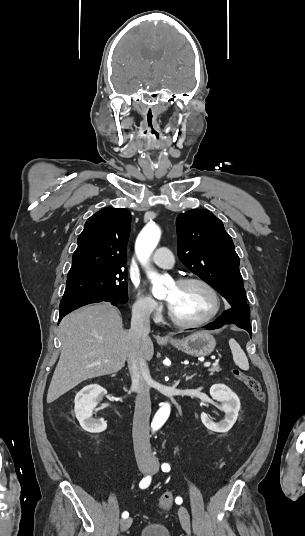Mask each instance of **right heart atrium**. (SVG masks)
<instances>
[{"instance_id":"right-heart-atrium-1","label":"right heart atrium","mask_w":305,"mask_h":536,"mask_svg":"<svg viewBox=\"0 0 305 536\" xmlns=\"http://www.w3.org/2000/svg\"><path fill=\"white\" fill-rule=\"evenodd\" d=\"M132 313L138 318H150L159 314V306L151 297L142 293L138 285L133 287Z\"/></svg>"}]
</instances>
